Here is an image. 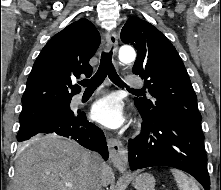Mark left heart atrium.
Listing matches in <instances>:
<instances>
[{
    "instance_id": "39dd6f15",
    "label": "left heart atrium",
    "mask_w": 221,
    "mask_h": 190,
    "mask_svg": "<svg viewBox=\"0 0 221 190\" xmlns=\"http://www.w3.org/2000/svg\"><path fill=\"white\" fill-rule=\"evenodd\" d=\"M92 118L108 128H117L123 121L121 102L114 96H107L98 100L91 109Z\"/></svg>"
}]
</instances>
